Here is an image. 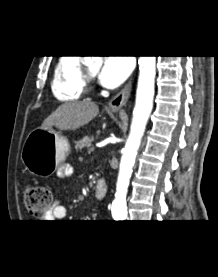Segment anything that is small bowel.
Returning a JSON list of instances; mask_svg holds the SVG:
<instances>
[{
    "label": "small bowel",
    "mask_w": 218,
    "mask_h": 277,
    "mask_svg": "<svg viewBox=\"0 0 218 277\" xmlns=\"http://www.w3.org/2000/svg\"><path fill=\"white\" fill-rule=\"evenodd\" d=\"M74 170L70 165H62L58 171V176L61 179L68 178L73 174ZM66 207L61 202H56L53 208L47 213L44 220L46 222H53L56 220H62L66 217Z\"/></svg>",
    "instance_id": "1"
}]
</instances>
